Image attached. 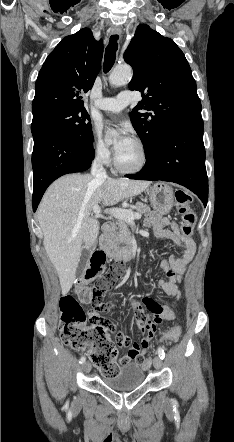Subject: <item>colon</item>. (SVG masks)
Here are the masks:
<instances>
[{
	"label": "colon",
	"mask_w": 234,
	"mask_h": 442,
	"mask_svg": "<svg viewBox=\"0 0 234 442\" xmlns=\"http://www.w3.org/2000/svg\"><path fill=\"white\" fill-rule=\"evenodd\" d=\"M175 198L183 220L181 232L184 236H189L195 221V215L190 209L191 195L184 190H177ZM125 266L124 262L114 261L106 268L105 255L95 252L90 266L75 286V296L66 297L60 303L59 331L62 341L76 350L86 351L94 366L99 368L105 377L115 376L118 372L117 351L109 331L90 328L87 317L89 314H102L105 294L121 278ZM83 304H92L93 310L86 314L82 308ZM131 306L135 314H145L144 309L151 314H160L162 310L159 303L148 297L142 298L140 302L132 301ZM180 333L181 328L174 326L166 333L164 339L169 343L174 342ZM150 365L151 360L145 358L141 368L147 371Z\"/></svg>",
	"instance_id": "5ec220e1"
}]
</instances>
